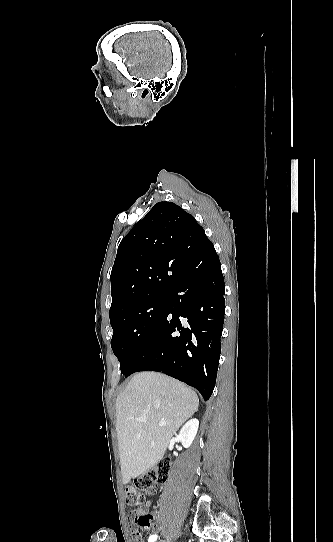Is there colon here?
Listing matches in <instances>:
<instances>
[{"label": "colon", "mask_w": 333, "mask_h": 542, "mask_svg": "<svg viewBox=\"0 0 333 542\" xmlns=\"http://www.w3.org/2000/svg\"><path fill=\"white\" fill-rule=\"evenodd\" d=\"M169 467V461H163L136 479L134 485L127 487L125 501L127 505L131 506L129 515L133 528L135 526L145 527V523L149 520L147 513L150 509L149 503L146 502V496L148 494L155 495L157 489L164 484ZM133 535L138 539L142 534L137 530Z\"/></svg>", "instance_id": "1"}]
</instances>
